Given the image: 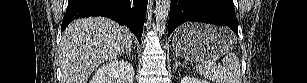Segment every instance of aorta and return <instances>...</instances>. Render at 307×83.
Wrapping results in <instances>:
<instances>
[{
	"label": "aorta",
	"instance_id": "1",
	"mask_svg": "<svg viewBox=\"0 0 307 83\" xmlns=\"http://www.w3.org/2000/svg\"><path fill=\"white\" fill-rule=\"evenodd\" d=\"M171 0H156L155 20L156 29L159 34L166 30L167 20L169 17Z\"/></svg>",
	"mask_w": 307,
	"mask_h": 83
}]
</instances>
